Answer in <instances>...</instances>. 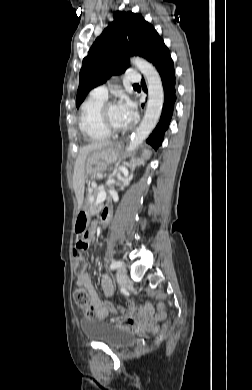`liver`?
Listing matches in <instances>:
<instances>
[{"mask_svg":"<svg viewBox=\"0 0 252 390\" xmlns=\"http://www.w3.org/2000/svg\"><path fill=\"white\" fill-rule=\"evenodd\" d=\"M108 142H94L82 147L76 159L73 174V188L79 204L83 201L85 186V162L89 153L109 146Z\"/></svg>","mask_w":252,"mask_h":390,"instance_id":"6515ba94","label":"liver"}]
</instances>
